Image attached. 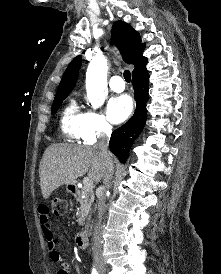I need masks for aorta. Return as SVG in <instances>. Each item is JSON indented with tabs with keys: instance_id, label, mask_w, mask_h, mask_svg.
<instances>
[{
	"instance_id": "1",
	"label": "aorta",
	"mask_w": 221,
	"mask_h": 274,
	"mask_svg": "<svg viewBox=\"0 0 221 274\" xmlns=\"http://www.w3.org/2000/svg\"><path fill=\"white\" fill-rule=\"evenodd\" d=\"M107 61L94 59L90 62L86 73V92L88 101L94 108L100 107L106 97Z\"/></svg>"
}]
</instances>
